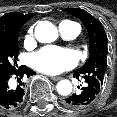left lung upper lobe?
Returning <instances> with one entry per match:
<instances>
[{
	"label": "left lung upper lobe",
	"mask_w": 117,
	"mask_h": 117,
	"mask_svg": "<svg viewBox=\"0 0 117 117\" xmlns=\"http://www.w3.org/2000/svg\"><path fill=\"white\" fill-rule=\"evenodd\" d=\"M66 11L84 23L89 36L90 57L81 68L75 71L82 75L95 76L103 84L108 53L107 36L103 25L85 10L68 8Z\"/></svg>",
	"instance_id": "obj_1"
}]
</instances>
